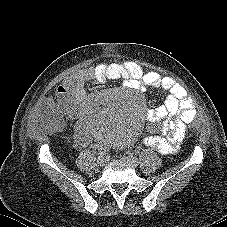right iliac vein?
<instances>
[{
	"mask_svg": "<svg viewBox=\"0 0 227 227\" xmlns=\"http://www.w3.org/2000/svg\"><path fill=\"white\" fill-rule=\"evenodd\" d=\"M106 162H107V160H106V158H104V157H99V158L97 159V163H98L100 166H104V165L106 164Z\"/></svg>",
	"mask_w": 227,
	"mask_h": 227,
	"instance_id": "1",
	"label": "right iliac vein"
}]
</instances>
